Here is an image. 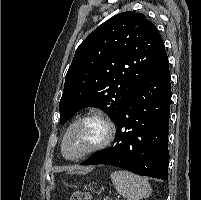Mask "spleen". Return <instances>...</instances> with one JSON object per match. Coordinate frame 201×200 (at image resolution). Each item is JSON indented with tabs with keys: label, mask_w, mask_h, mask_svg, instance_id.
Instances as JSON below:
<instances>
[{
	"label": "spleen",
	"mask_w": 201,
	"mask_h": 200,
	"mask_svg": "<svg viewBox=\"0 0 201 200\" xmlns=\"http://www.w3.org/2000/svg\"><path fill=\"white\" fill-rule=\"evenodd\" d=\"M111 179L117 192L125 196L127 200H140L151 195V186L143 177L118 170L111 174Z\"/></svg>",
	"instance_id": "obj_1"
}]
</instances>
